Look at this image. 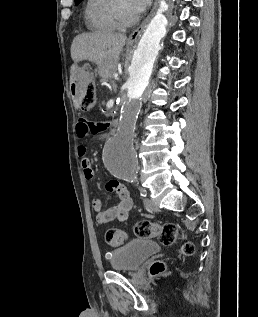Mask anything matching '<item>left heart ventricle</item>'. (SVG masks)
<instances>
[{
  "mask_svg": "<svg viewBox=\"0 0 258 317\" xmlns=\"http://www.w3.org/2000/svg\"><path fill=\"white\" fill-rule=\"evenodd\" d=\"M131 13H132L131 10H127V11L125 12V16H126V17H129Z\"/></svg>",
  "mask_w": 258,
  "mask_h": 317,
  "instance_id": "1",
  "label": "left heart ventricle"
}]
</instances>
